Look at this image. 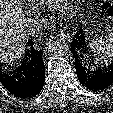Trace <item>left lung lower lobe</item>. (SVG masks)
<instances>
[{
	"mask_svg": "<svg viewBox=\"0 0 113 113\" xmlns=\"http://www.w3.org/2000/svg\"><path fill=\"white\" fill-rule=\"evenodd\" d=\"M87 44L85 42V31L80 27L71 42V52L75 59L74 65L77 77L87 89L103 90L113 84V63L97 69L90 68L86 60H84V56L80 54Z\"/></svg>",
	"mask_w": 113,
	"mask_h": 113,
	"instance_id": "obj_1",
	"label": "left lung lower lobe"
}]
</instances>
